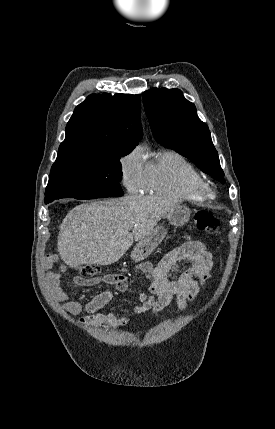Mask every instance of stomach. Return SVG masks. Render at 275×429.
<instances>
[{"label":"stomach","instance_id":"stomach-1","mask_svg":"<svg viewBox=\"0 0 275 429\" xmlns=\"http://www.w3.org/2000/svg\"><path fill=\"white\" fill-rule=\"evenodd\" d=\"M191 210L183 204H178L172 211L167 213L166 218L174 226H183L190 218ZM167 229L163 225L156 226L153 231L141 239L131 252V258L141 261L148 257L155 248L164 240Z\"/></svg>","mask_w":275,"mask_h":429}]
</instances>
